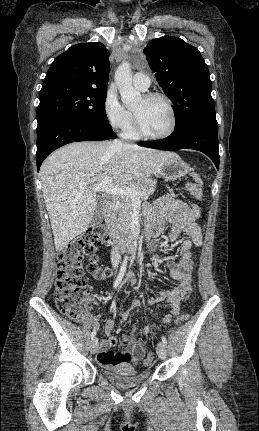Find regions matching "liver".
I'll return each mask as SVG.
<instances>
[{
  "instance_id": "6515ba94",
  "label": "liver",
  "mask_w": 259,
  "mask_h": 431,
  "mask_svg": "<svg viewBox=\"0 0 259 431\" xmlns=\"http://www.w3.org/2000/svg\"><path fill=\"white\" fill-rule=\"evenodd\" d=\"M174 153L111 141H83L53 152L42 164V192L56 251L82 234L92 221L96 194L89 187L140 181L160 169Z\"/></svg>"
}]
</instances>
